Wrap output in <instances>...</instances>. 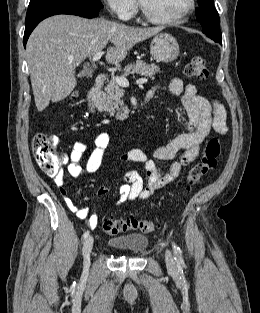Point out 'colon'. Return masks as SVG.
I'll return each mask as SVG.
<instances>
[{
	"label": "colon",
	"instance_id": "1",
	"mask_svg": "<svg viewBox=\"0 0 260 313\" xmlns=\"http://www.w3.org/2000/svg\"><path fill=\"white\" fill-rule=\"evenodd\" d=\"M185 71L190 78L197 81H205L209 76L206 61L202 57H193L187 64ZM57 145L58 142L55 136L37 133L33 137L32 151L35 161L49 177L60 176L62 173L65 158L57 150ZM220 151L219 139L216 137L211 138L205 146L201 160L189 170L186 176V183L189 188L197 185L203 176L216 167ZM100 227L106 234L117 235L128 231L149 233L154 230L155 224L151 220L125 218L104 220Z\"/></svg>",
	"mask_w": 260,
	"mask_h": 313
}]
</instances>
